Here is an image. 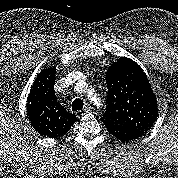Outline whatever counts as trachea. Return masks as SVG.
<instances>
[{"mask_svg":"<svg viewBox=\"0 0 178 178\" xmlns=\"http://www.w3.org/2000/svg\"><path fill=\"white\" fill-rule=\"evenodd\" d=\"M83 106H84V102L82 99H75L72 103V110L73 111H80L83 109Z\"/></svg>","mask_w":178,"mask_h":178,"instance_id":"obj_1","label":"trachea"}]
</instances>
